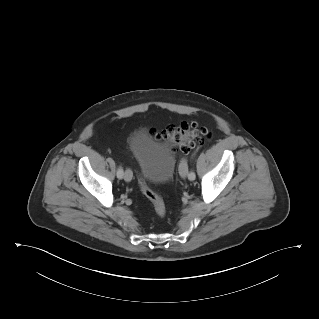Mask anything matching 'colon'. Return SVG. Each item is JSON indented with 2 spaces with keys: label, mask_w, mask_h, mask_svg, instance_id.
<instances>
[{
  "label": "colon",
  "mask_w": 319,
  "mask_h": 319,
  "mask_svg": "<svg viewBox=\"0 0 319 319\" xmlns=\"http://www.w3.org/2000/svg\"><path fill=\"white\" fill-rule=\"evenodd\" d=\"M210 136L206 127L199 126L193 122H183L178 126L168 127L162 134H154L156 138L168 140L174 146V149L180 154H188L197 142ZM139 184L143 194L152 203L157 216L165 217L167 210L161 195L150 187L147 182L140 177Z\"/></svg>",
  "instance_id": "1"
}]
</instances>
